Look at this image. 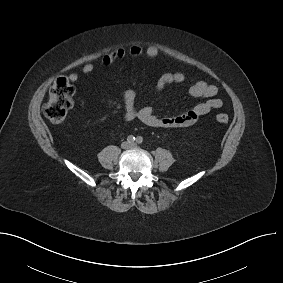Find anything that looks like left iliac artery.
<instances>
[{
  "label": "left iliac artery",
  "mask_w": 283,
  "mask_h": 283,
  "mask_svg": "<svg viewBox=\"0 0 283 283\" xmlns=\"http://www.w3.org/2000/svg\"><path fill=\"white\" fill-rule=\"evenodd\" d=\"M136 142H137L138 144H142V143H143V138H142L141 136H138V137L136 138Z\"/></svg>",
  "instance_id": "left-iliac-artery-1"
}]
</instances>
